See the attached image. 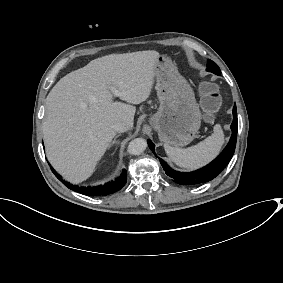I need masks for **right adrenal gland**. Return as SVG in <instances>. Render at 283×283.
<instances>
[{
  "mask_svg": "<svg viewBox=\"0 0 283 283\" xmlns=\"http://www.w3.org/2000/svg\"><path fill=\"white\" fill-rule=\"evenodd\" d=\"M119 137V135H116L115 137H114V140L112 141V143H111V145H110V148H112L113 147V145H118V142L116 141V139Z\"/></svg>",
  "mask_w": 283,
  "mask_h": 283,
  "instance_id": "1",
  "label": "right adrenal gland"
}]
</instances>
